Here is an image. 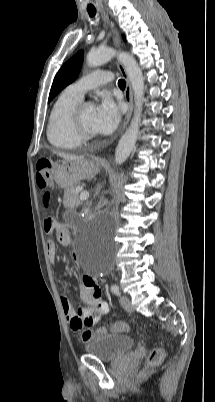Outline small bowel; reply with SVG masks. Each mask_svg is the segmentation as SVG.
I'll return each instance as SVG.
<instances>
[{"instance_id":"c3829d8e","label":"small bowel","mask_w":215,"mask_h":402,"mask_svg":"<svg viewBox=\"0 0 215 402\" xmlns=\"http://www.w3.org/2000/svg\"><path fill=\"white\" fill-rule=\"evenodd\" d=\"M45 229V228H44ZM47 233L56 232L59 243L68 246L71 236L68 230L54 223V227L46 230ZM49 259L53 262L57 253V246L54 240L46 242ZM80 297L88 307L75 310L68 296L61 292L60 301L64 315L73 330H80L83 326H92L98 323L103 316L109 312V305L102 300L101 289L90 276L84 275L81 279Z\"/></svg>"}]
</instances>
